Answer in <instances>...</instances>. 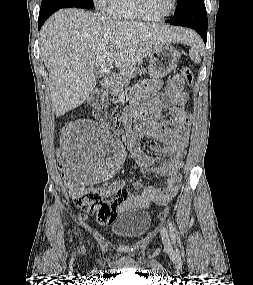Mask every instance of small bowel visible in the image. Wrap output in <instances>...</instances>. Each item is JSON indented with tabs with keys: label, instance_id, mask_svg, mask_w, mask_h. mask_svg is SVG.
<instances>
[{
	"label": "small bowel",
	"instance_id": "1",
	"mask_svg": "<svg viewBox=\"0 0 253 285\" xmlns=\"http://www.w3.org/2000/svg\"><path fill=\"white\" fill-rule=\"evenodd\" d=\"M161 85L158 80H143L131 90L130 106L125 110L124 116L125 122L133 119L135 126L133 130L126 126L117 132L127 133V148L137 166L142 171L157 174L164 180V184L156 188L151 184L135 181L133 187L136 193H129L127 200L117 207L119 210L145 209L152 203L166 205L180 189V170L191 125V116L184 110L189 94L184 90L183 78L175 75L168 81L161 95L151 101L145 100ZM167 109L171 111L170 119H165L163 113ZM103 113L108 114L106 126H121L122 113H118L117 109H104ZM142 137L153 138L159 143L151 147L158 157L148 156L140 150L138 141ZM125 185L124 180H119L113 187L124 188Z\"/></svg>",
	"mask_w": 253,
	"mask_h": 285
}]
</instances>
